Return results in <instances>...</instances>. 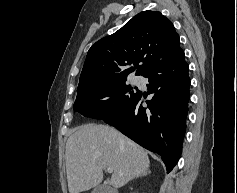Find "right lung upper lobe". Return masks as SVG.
<instances>
[{
    "instance_id": "obj_1",
    "label": "right lung upper lobe",
    "mask_w": 237,
    "mask_h": 193,
    "mask_svg": "<svg viewBox=\"0 0 237 193\" xmlns=\"http://www.w3.org/2000/svg\"><path fill=\"white\" fill-rule=\"evenodd\" d=\"M181 50L172 22L158 11H143L89 49L77 91L104 82L144 76ZM141 64L138 66V64ZM131 64L134 67H129Z\"/></svg>"
}]
</instances>
